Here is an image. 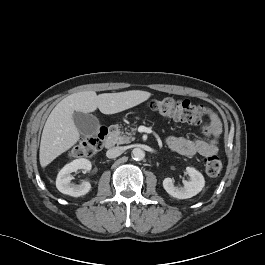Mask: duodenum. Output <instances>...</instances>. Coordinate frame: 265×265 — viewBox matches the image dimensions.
Returning a JSON list of instances; mask_svg holds the SVG:
<instances>
[{
	"label": "duodenum",
	"mask_w": 265,
	"mask_h": 265,
	"mask_svg": "<svg viewBox=\"0 0 265 265\" xmlns=\"http://www.w3.org/2000/svg\"><path fill=\"white\" fill-rule=\"evenodd\" d=\"M115 142H116V138H115V134L114 133H109V135L106 137L105 141H104V146L107 149H111L115 146Z\"/></svg>",
	"instance_id": "duodenum-1"
}]
</instances>
